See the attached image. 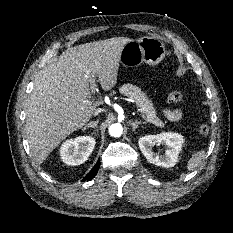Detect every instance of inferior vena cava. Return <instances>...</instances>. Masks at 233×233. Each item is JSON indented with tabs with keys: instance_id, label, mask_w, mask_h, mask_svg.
I'll list each match as a JSON object with an SVG mask.
<instances>
[{
	"instance_id": "602c4592",
	"label": "inferior vena cava",
	"mask_w": 233,
	"mask_h": 233,
	"mask_svg": "<svg viewBox=\"0 0 233 233\" xmlns=\"http://www.w3.org/2000/svg\"><path fill=\"white\" fill-rule=\"evenodd\" d=\"M104 111V109H102V108H97V109H95V111H94V115H98L99 113H101V112H103Z\"/></svg>"
}]
</instances>
